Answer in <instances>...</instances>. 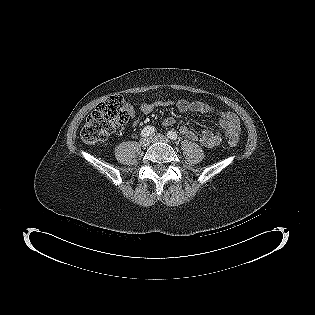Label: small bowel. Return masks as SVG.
I'll return each mask as SVG.
<instances>
[{
    "label": "small bowel",
    "mask_w": 315,
    "mask_h": 315,
    "mask_svg": "<svg viewBox=\"0 0 315 315\" xmlns=\"http://www.w3.org/2000/svg\"><path fill=\"white\" fill-rule=\"evenodd\" d=\"M175 106L180 112H195L201 114H214L219 118V125L224 131L228 140H238L240 134V120L232 112L216 108L210 104L201 101H190L186 99L173 100H156L154 102H144L140 106L142 115H148L156 108H165ZM129 115L133 118V125H137L139 120L135 116V111L131 103L126 104ZM164 126H171L175 123L173 117H166L163 120ZM180 133L191 140L200 142L202 145L212 148L220 144L222 136L218 132L204 130L196 132L187 126L180 127Z\"/></svg>",
    "instance_id": "obj_1"
}]
</instances>
